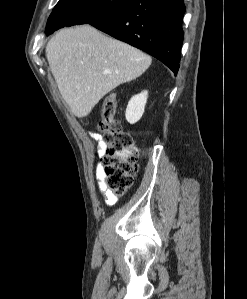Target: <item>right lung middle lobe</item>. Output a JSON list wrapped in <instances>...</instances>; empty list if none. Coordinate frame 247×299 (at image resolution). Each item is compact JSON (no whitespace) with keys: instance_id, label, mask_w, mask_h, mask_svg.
Listing matches in <instances>:
<instances>
[{"instance_id":"obj_1","label":"right lung middle lobe","mask_w":247,"mask_h":299,"mask_svg":"<svg viewBox=\"0 0 247 299\" xmlns=\"http://www.w3.org/2000/svg\"><path fill=\"white\" fill-rule=\"evenodd\" d=\"M131 0H59L51 13L46 34L64 26L91 23L103 19L124 6Z\"/></svg>"}]
</instances>
